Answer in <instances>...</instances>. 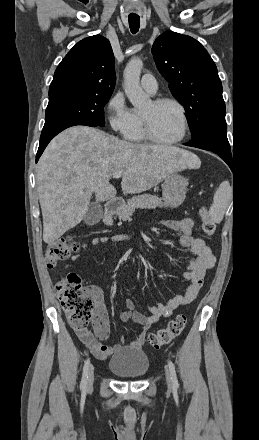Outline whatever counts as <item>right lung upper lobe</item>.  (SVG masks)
<instances>
[{"label": "right lung upper lobe", "mask_w": 259, "mask_h": 440, "mask_svg": "<svg viewBox=\"0 0 259 440\" xmlns=\"http://www.w3.org/2000/svg\"><path fill=\"white\" fill-rule=\"evenodd\" d=\"M114 55L101 35L79 41L58 65L49 95L64 91L112 93L115 86Z\"/></svg>", "instance_id": "obj_1"}]
</instances>
